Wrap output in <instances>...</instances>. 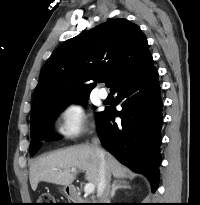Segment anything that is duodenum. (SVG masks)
Listing matches in <instances>:
<instances>
[{"label": "duodenum", "mask_w": 200, "mask_h": 205, "mask_svg": "<svg viewBox=\"0 0 200 205\" xmlns=\"http://www.w3.org/2000/svg\"><path fill=\"white\" fill-rule=\"evenodd\" d=\"M67 195L73 201H81L82 200V197H81L79 191L74 187H69L67 189Z\"/></svg>", "instance_id": "1"}]
</instances>
